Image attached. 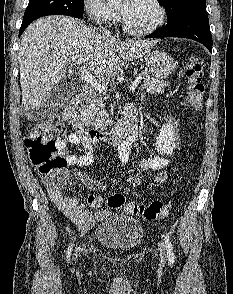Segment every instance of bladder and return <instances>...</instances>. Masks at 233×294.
I'll list each match as a JSON object with an SVG mask.
<instances>
[{
	"label": "bladder",
	"mask_w": 233,
	"mask_h": 294,
	"mask_svg": "<svg viewBox=\"0 0 233 294\" xmlns=\"http://www.w3.org/2000/svg\"><path fill=\"white\" fill-rule=\"evenodd\" d=\"M144 237L140 222L125 214H112L96 228V240L102 246L119 251L138 247Z\"/></svg>",
	"instance_id": "1"
}]
</instances>
